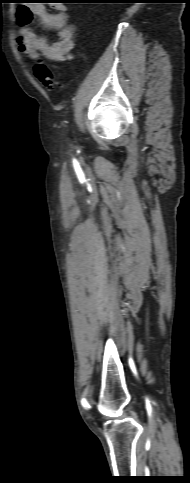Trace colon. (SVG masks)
I'll list each match as a JSON object with an SVG mask.
<instances>
[{
    "label": "colon",
    "mask_w": 190,
    "mask_h": 483,
    "mask_svg": "<svg viewBox=\"0 0 190 483\" xmlns=\"http://www.w3.org/2000/svg\"><path fill=\"white\" fill-rule=\"evenodd\" d=\"M32 73L50 91H59L63 86L62 82L44 63H36L32 68Z\"/></svg>",
    "instance_id": "colon-1"
}]
</instances>
